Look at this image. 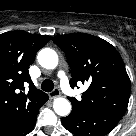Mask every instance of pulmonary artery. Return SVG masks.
<instances>
[{
  "label": "pulmonary artery",
  "instance_id": "obj_1",
  "mask_svg": "<svg viewBox=\"0 0 136 136\" xmlns=\"http://www.w3.org/2000/svg\"><path fill=\"white\" fill-rule=\"evenodd\" d=\"M58 76L60 77L61 86H62L63 90L67 94L73 95V91H72V89L69 86V83H68L67 77L65 76V73L63 71H60L59 74H58Z\"/></svg>",
  "mask_w": 136,
  "mask_h": 136
}]
</instances>
